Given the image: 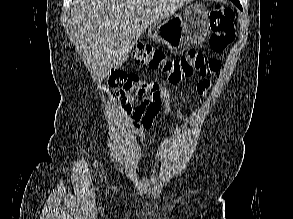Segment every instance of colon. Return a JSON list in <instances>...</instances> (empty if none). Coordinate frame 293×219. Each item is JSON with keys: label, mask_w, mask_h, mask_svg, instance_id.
Segmentation results:
<instances>
[{"label": "colon", "mask_w": 293, "mask_h": 219, "mask_svg": "<svg viewBox=\"0 0 293 219\" xmlns=\"http://www.w3.org/2000/svg\"><path fill=\"white\" fill-rule=\"evenodd\" d=\"M209 45L214 52H223L235 39L234 11L226 6L217 5L210 10ZM133 60L160 70L168 77L171 85H178L195 75L206 77L217 73L221 64L217 59H206L202 52L190 49L178 57H169L157 47L148 44L139 45L133 52ZM207 80L199 82L205 86ZM141 86L138 76L123 70H113L107 80V90L112 99L125 103L128 97Z\"/></svg>", "instance_id": "5ec220e1"}]
</instances>
